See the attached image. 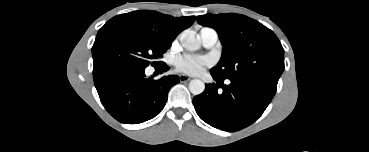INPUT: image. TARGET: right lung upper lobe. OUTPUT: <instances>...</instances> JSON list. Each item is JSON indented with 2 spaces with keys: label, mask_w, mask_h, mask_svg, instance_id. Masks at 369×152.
Instances as JSON below:
<instances>
[{
  "label": "right lung upper lobe",
  "mask_w": 369,
  "mask_h": 152,
  "mask_svg": "<svg viewBox=\"0 0 369 152\" xmlns=\"http://www.w3.org/2000/svg\"><path fill=\"white\" fill-rule=\"evenodd\" d=\"M195 18V16L172 17L149 10L134 11L114 17V19L129 22L158 39L170 43L181 31L190 27Z\"/></svg>",
  "instance_id": "cb5924a9"
}]
</instances>
